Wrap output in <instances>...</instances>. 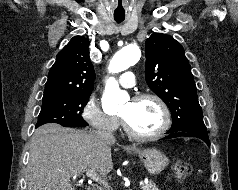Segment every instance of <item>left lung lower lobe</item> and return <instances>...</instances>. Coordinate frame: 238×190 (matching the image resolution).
Returning a JSON list of instances; mask_svg holds the SVG:
<instances>
[{
  "mask_svg": "<svg viewBox=\"0 0 238 190\" xmlns=\"http://www.w3.org/2000/svg\"><path fill=\"white\" fill-rule=\"evenodd\" d=\"M168 133H170V135L165 137V139L174 138L177 136L197 137L203 140L208 146H210V141L206 129L177 130V131H169Z\"/></svg>",
  "mask_w": 238,
  "mask_h": 190,
  "instance_id": "obj_1",
  "label": "left lung lower lobe"
}]
</instances>
